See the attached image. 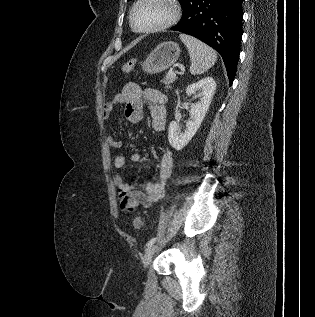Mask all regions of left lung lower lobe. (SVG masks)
<instances>
[{
  "mask_svg": "<svg viewBox=\"0 0 315 317\" xmlns=\"http://www.w3.org/2000/svg\"><path fill=\"white\" fill-rule=\"evenodd\" d=\"M243 0H193L171 30L194 36L223 58L230 85L237 71L242 38Z\"/></svg>",
  "mask_w": 315,
  "mask_h": 317,
  "instance_id": "1",
  "label": "left lung lower lobe"
}]
</instances>
